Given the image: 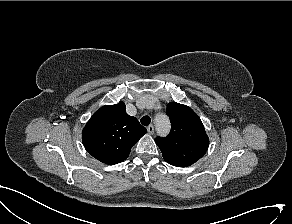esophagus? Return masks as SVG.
Returning <instances> with one entry per match:
<instances>
[{"label": "esophagus", "mask_w": 292, "mask_h": 224, "mask_svg": "<svg viewBox=\"0 0 292 224\" xmlns=\"http://www.w3.org/2000/svg\"><path fill=\"white\" fill-rule=\"evenodd\" d=\"M147 131H148V133L149 134H154V126L153 125H149L148 127H147Z\"/></svg>", "instance_id": "34e87169"}]
</instances>
